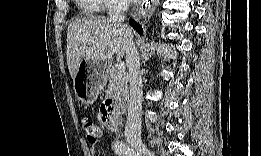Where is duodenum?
Listing matches in <instances>:
<instances>
[{
  "label": "duodenum",
  "mask_w": 261,
  "mask_h": 156,
  "mask_svg": "<svg viewBox=\"0 0 261 156\" xmlns=\"http://www.w3.org/2000/svg\"><path fill=\"white\" fill-rule=\"evenodd\" d=\"M106 103L110 104L112 107L117 106L122 109L124 108V102L117 97H107Z\"/></svg>",
  "instance_id": "1"
}]
</instances>
